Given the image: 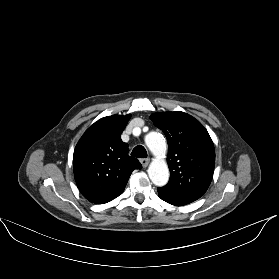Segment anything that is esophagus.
<instances>
[{"mask_svg":"<svg viewBox=\"0 0 279 279\" xmlns=\"http://www.w3.org/2000/svg\"><path fill=\"white\" fill-rule=\"evenodd\" d=\"M140 162H141L142 166L144 168H146L148 166L149 162H150V158L141 159Z\"/></svg>","mask_w":279,"mask_h":279,"instance_id":"1","label":"esophagus"}]
</instances>
